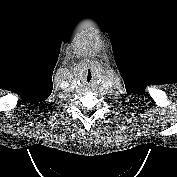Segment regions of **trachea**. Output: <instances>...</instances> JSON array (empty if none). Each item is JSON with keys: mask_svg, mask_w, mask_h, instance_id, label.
Segmentation results:
<instances>
[{"mask_svg": "<svg viewBox=\"0 0 177 177\" xmlns=\"http://www.w3.org/2000/svg\"><path fill=\"white\" fill-rule=\"evenodd\" d=\"M87 77H88V79H89V80L91 79V75H90V74H88V76H87Z\"/></svg>", "mask_w": 177, "mask_h": 177, "instance_id": "obj_1", "label": "trachea"}]
</instances>
